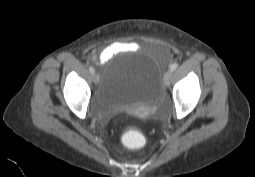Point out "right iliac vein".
I'll return each instance as SVG.
<instances>
[{"label":"right iliac vein","instance_id":"obj_1","mask_svg":"<svg viewBox=\"0 0 255 177\" xmlns=\"http://www.w3.org/2000/svg\"><path fill=\"white\" fill-rule=\"evenodd\" d=\"M92 78H93L94 84L97 85L99 83V75L97 73H94Z\"/></svg>","mask_w":255,"mask_h":177}]
</instances>
